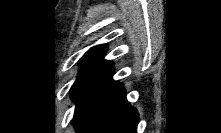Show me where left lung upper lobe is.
<instances>
[{"label":"left lung upper lobe","mask_w":221,"mask_h":133,"mask_svg":"<svg viewBox=\"0 0 221 133\" xmlns=\"http://www.w3.org/2000/svg\"><path fill=\"white\" fill-rule=\"evenodd\" d=\"M106 50L105 45H98L87 51L81 58V72L70 90L73 100H76L89 84L112 68V63L103 60Z\"/></svg>","instance_id":"5c2ea615"}]
</instances>
